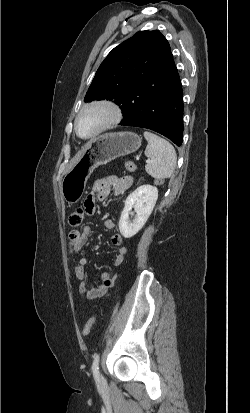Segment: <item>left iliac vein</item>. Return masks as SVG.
I'll use <instances>...</instances> for the list:
<instances>
[{"label":"left iliac vein","instance_id":"4c4485c4","mask_svg":"<svg viewBox=\"0 0 250 413\" xmlns=\"http://www.w3.org/2000/svg\"><path fill=\"white\" fill-rule=\"evenodd\" d=\"M101 381L103 382V377L101 376Z\"/></svg>","mask_w":250,"mask_h":413}]
</instances>
